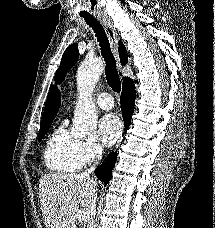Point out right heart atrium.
Here are the masks:
<instances>
[{"label":"right heart atrium","instance_id":"1","mask_svg":"<svg viewBox=\"0 0 215 228\" xmlns=\"http://www.w3.org/2000/svg\"><path fill=\"white\" fill-rule=\"evenodd\" d=\"M103 155V147L92 141L82 142L81 158L83 163H92L99 160Z\"/></svg>","mask_w":215,"mask_h":228}]
</instances>
